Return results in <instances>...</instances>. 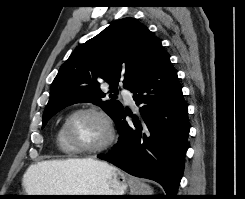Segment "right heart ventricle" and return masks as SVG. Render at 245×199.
I'll return each instance as SVG.
<instances>
[{
    "label": "right heart ventricle",
    "mask_w": 245,
    "mask_h": 199,
    "mask_svg": "<svg viewBox=\"0 0 245 199\" xmlns=\"http://www.w3.org/2000/svg\"><path fill=\"white\" fill-rule=\"evenodd\" d=\"M56 144L58 148L67 156H74L76 153L74 150L70 147V145L65 140L64 134H63V128L62 125L59 127L56 133Z\"/></svg>",
    "instance_id": "1"
}]
</instances>
